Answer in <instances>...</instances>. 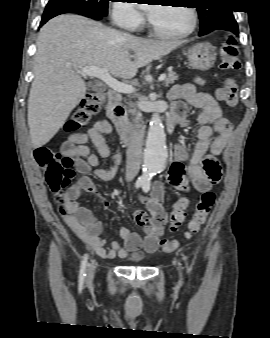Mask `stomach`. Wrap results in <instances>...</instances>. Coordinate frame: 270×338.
<instances>
[{"label": "stomach", "mask_w": 270, "mask_h": 338, "mask_svg": "<svg viewBox=\"0 0 270 338\" xmlns=\"http://www.w3.org/2000/svg\"><path fill=\"white\" fill-rule=\"evenodd\" d=\"M215 60V50L209 43H197L189 50L188 62L192 69L207 71L213 67Z\"/></svg>", "instance_id": "0dacf381"}]
</instances>
